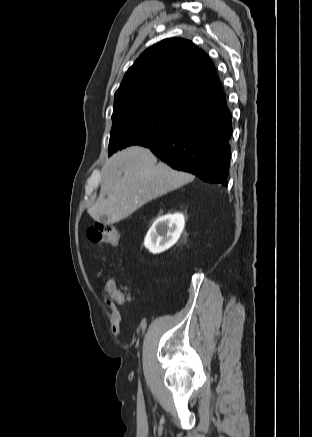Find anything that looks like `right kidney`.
I'll return each mask as SVG.
<instances>
[{
  "mask_svg": "<svg viewBox=\"0 0 312 437\" xmlns=\"http://www.w3.org/2000/svg\"><path fill=\"white\" fill-rule=\"evenodd\" d=\"M184 226L185 219L181 213L158 218L145 237V247L153 254L169 249L179 240Z\"/></svg>",
  "mask_w": 312,
  "mask_h": 437,
  "instance_id": "1",
  "label": "right kidney"
}]
</instances>
